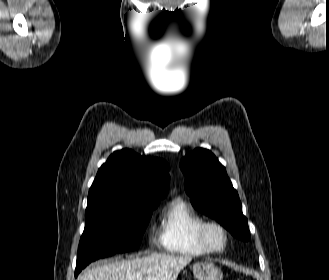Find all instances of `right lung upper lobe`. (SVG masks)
I'll return each mask as SVG.
<instances>
[{"instance_id":"1","label":"right lung upper lobe","mask_w":329,"mask_h":280,"mask_svg":"<svg viewBox=\"0 0 329 280\" xmlns=\"http://www.w3.org/2000/svg\"><path fill=\"white\" fill-rule=\"evenodd\" d=\"M169 181V166L163 159L140 156L128 149L116 151L98 170L86 213L114 200L162 199L168 193Z\"/></svg>"}]
</instances>
